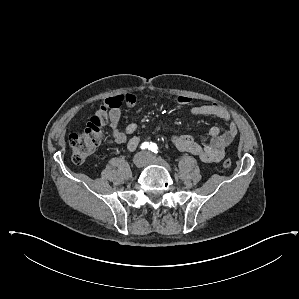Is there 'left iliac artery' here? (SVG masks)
<instances>
[{
  "instance_id": "1",
  "label": "left iliac artery",
  "mask_w": 299,
  "mask_h": 299,
  "mask_svg": "<svg viewBox=\"0 0 299 299\" xmlns=\"http://www.w3.org/2000/svg\"><path fill=\"white\" fill-rule=\"evenodd\" d=\"M149 150H151L154 153H158V147H157V145L155 143L151 142Z\"/></svg>"
}]
</instances>
